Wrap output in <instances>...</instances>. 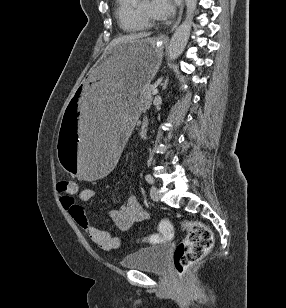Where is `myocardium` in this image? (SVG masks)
I'll use <instances>...</instances> for the list:
<instances>
[{
    "instance_id": "f54148a6",
    "label": "myocardium",
    "mask_w": 286,
    "mask_h": 308,
    "mask_svg": "<svg viewBox=\"0 0 286 308\" xmlns=\"http://www.w3.org/2000/svg\"><path fill=\"white\" fill-rule=\"evenodd\" d=\"M136 9V13L138 15V17L147 25H153L155 23V18L150 17L146 14H144L143 12L140 11V9L138 7L135 8Z\"/></svg>"
}]
</instances>
